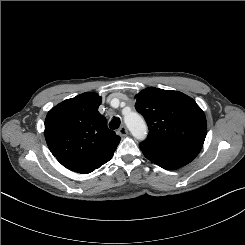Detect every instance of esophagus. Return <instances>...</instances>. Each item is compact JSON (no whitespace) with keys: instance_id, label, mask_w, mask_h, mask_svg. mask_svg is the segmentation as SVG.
I'll return each mask as SVG.
<instances>
[{"instance_id":"1","label":"esophagus","mask_w":245,"mask_h":245,"mask_svg":"<svg viewBox=\"0 0 245 245\" xmlns=\"http://www.w3.org/2000/svg\"><path fill=\"white\" fill-rule=\"evenodd\" d=\"M117 133H118L120 136L123 137V136H126V135L128 134V130H127L126 126L122 125V126L118 129Z\"/></svg>"}]
</instances>
